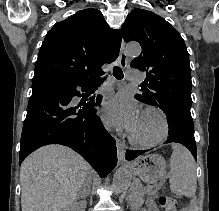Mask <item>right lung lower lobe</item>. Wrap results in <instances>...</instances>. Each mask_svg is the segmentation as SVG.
Listing matches in <instances>:
<instances>
[{
    "label": "right lung lower lobe",
    "mask_w": 219,
    "mask_h": 211,
    "mask_svg": "<svg viewBox=\"0 0 219 211\" xmlns=\"http://www.w3.org/2000/svg\"><path fill=\"white\" fill-rule=\"evenodd\" d=\"M97 79L32 83L19 164L41 146L61 144L78 152L101 177L112 171L117 164L116 141L95 115L102 96L78 105L74 101L75 96H81L78 87L87 90Z\"/></svg>",
    "instance_id": "1"
}]
</instances>
